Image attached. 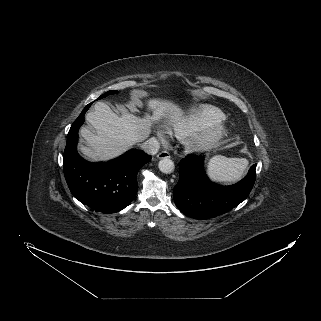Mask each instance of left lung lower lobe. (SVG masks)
Returning <instances> with one entry per match:
<instances>
[{
  "instance_id": "0a47b994",
  "label": "left lung lower lobe",
  "mask_w": 321,
  "mask_h": 321,
  "mask_svg": "<svg viewBox=\"0 0 321 321\" xmlns=\"http://www.w3.org/2000/svg\"><path fill=\"white\" fill-rule=\"evenodd\" d=\"M204 156L185 157L180 162L179 182L174 188L177 208L195 219L224 214L244 201L256 179V164L240 182L221 186L211 182L204 172Z\"/></svg>"
}]
</instances>
